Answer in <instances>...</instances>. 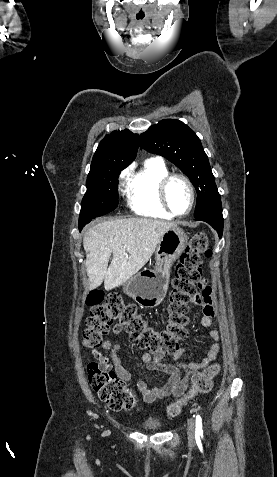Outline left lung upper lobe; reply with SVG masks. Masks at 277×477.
Returning <instances> with one entry per match:
<instances>
[{
	"label": "left lung upper lobe",
	"instance_id": "1",
	"mask_svg": "<svg viewBox=\"0 0 277 477\" xmlns=\"http://www.w3.org/2000/svg\"><path fill=\"white\" fill-rule=\"evenodd\" d=\"M140 144L174 163L190 178L197 192L195 218L222 207L208 157L187 125L179 120H162L140 135Z\"/></svg>",
	"mask_w": 277,
	"mask_h": 477
}]
</instances>
